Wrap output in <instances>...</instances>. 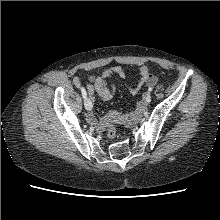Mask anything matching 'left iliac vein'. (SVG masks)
I'll use <instances>...</instances> for the list:
<instances>
[{"instance_id": "1", "label": "left iliac vein", "mask_w": 220, "mask_h": 220, "mask_svg": "<svg viewBox=\"0 0 220 220\" xmlns=\"http://www.w3.org/2000/svg\"><path fill=\"white\" fill-rule=\"evenodd\" d=\"M147 98H148V99H151L150 94L147 95ZM150 102H151V101H150ZM150 102H148V101L146 100V104H147V103H150Z\"/></svg>"}]
</instances>
